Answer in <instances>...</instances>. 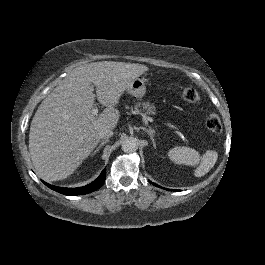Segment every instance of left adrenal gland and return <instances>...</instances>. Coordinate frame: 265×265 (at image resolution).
Here are the masks:
<instances>
[{
    "mask_svg": "<svg viewBox=\"0 0 265 265\" xmlns=\"http://www.w3.org/2000/svg\"><path fill=\"white\" fill-rule=\"evenodd\" d=\"M139 129H142V130H144L145 132H147L148 135H149V137H150V139H151V141H152V143L154 144V146H156V145H155L154 136H153V130H152V127H148V128H146L145 126H142V127H139Z\"/></svg>",
    "mask_w": 265,
    "mask_h": 265,
    "instance_id": "1",
    "label": "left adrenal gland"
}]
</instances>
